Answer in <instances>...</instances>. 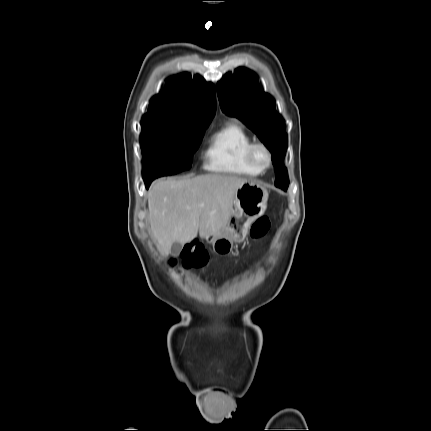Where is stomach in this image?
Returning <instances> with one entry per match:
<instances>
[{"label":"stomach","mask_w":431,"mask_h":431,"mask_svg":"<svg viewBox=\"0 0 431 431\" xmlns=\"http://www.w3.org/2000/svg\"><path fill=\"white\" fill-rule=\"evenodd\" d=\"M267 201L268 191L265 187L252 181L242 184L235 193L234 209L221 233L206 238L214 252L228 254L234 243L244 241L251 223L264 214Z\"/></svg>","instance_id":"stomach-1"}]
</instances>
